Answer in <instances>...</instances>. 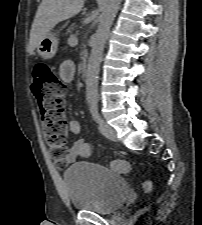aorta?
<instances>
[{"label":"aorta","instance_id":"obj_1","mask_svg":"<svg viewBox=\"0 0 202 225\" xmlns=\"http://www.w3.org/2000/svg\"><path fill=\"white\" fill-rule=\"evenodd\" d=\"M121 0H105V6L99 17V25L92 45L86 71V100L95 103L98 95V74L105 43L119 9Z\"/></svg>","mask_w":202,"mask_h":225}]
</instances>
